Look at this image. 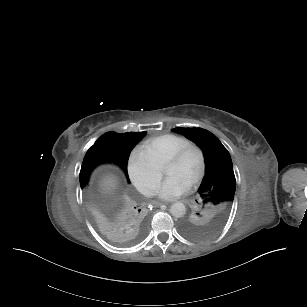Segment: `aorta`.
Returning a JSON list of instances; mask_svg holds the SVG:
<instances>
[{"instance_id": "obj_1", "label": "aorta", "mask_w": 307, "mask_h": 307, "mask_svg": "<svg viewBox=\"0 0 307 307\" xmlns=\"http://www.w3.org/2000/svg\"><path fill=\"white\" fill-rule=\"evenodd\" d=\"M186 208L185 205L181 202H177L171 205L170 207V213L172 216L176 218H181L185 215Z\"/></svg>"}]
</instances>
